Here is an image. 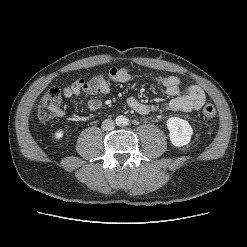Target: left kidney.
<instances>
[{
	"label": "left kidney",
	"mask_w": 247,
	"mask_h": 247,
	"mask_svg": "<svg viewBox=\"0 0 247 247\" xmlns=\"http://www.w3.org/2000/svg\"><path fill=\"white\" fill-rule=\"evenodd\" d=\"M169 130L171 143L176 147L187 145L193 134V130L188 121L178 117H171L166 122Z\"/></svg>",
	"instance_id": "1"
}]
</instances>
